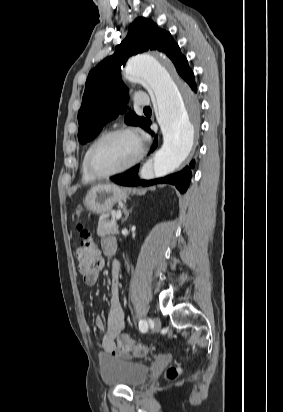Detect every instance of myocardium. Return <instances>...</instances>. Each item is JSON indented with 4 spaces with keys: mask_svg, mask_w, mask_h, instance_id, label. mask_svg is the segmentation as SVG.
<instances>
[{
    "mask_svg": "<svg viewBox=\"0 0 283 412\" xmlns=\"http://www.w3.org/2000/svg\"><path fill=\"white\" fill-rule=\"evenodd\" d=\"M121 134H130V135L135 136L138 139L140 146H139V151H138L136 157L130 163H128L127 165H125L121 168H118L116 170H113V171H110V172H107V173H100V172L96 171L95 168L93 167V164H92V158H93V155H94V152L96 151V149L99 146H101L104 142L109 140L110 138H112L114 136H117V135H121ZM144 152H145L144 146H143L142 142L140 141L139 137L137 136L136 132L133 129L128 128V127L116 128V129L110 130V131L102 134L98 139H96L92 143V145L90 146V148L87 152V155H86V167H87L89 173L92 175V177L94 179L110 178L114 175H117L119 173L127 171V170L131 169L132 167H134L136 164H138L141 161V159L143 158Z\"/></svg>",
    "mask_w": 283,
    "mask_h": 412,
    "instance_id": "f54148a6",
    "label": "myocardium"
}]
</instances>
